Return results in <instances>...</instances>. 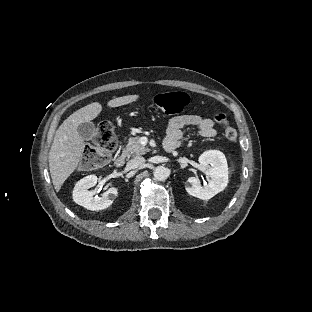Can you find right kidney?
Here are the masks:
<instances>
[{
  "mask_svg": "<svg viewBox=\"0 0 312 312\" xmlns=\"http://www.w3.org/2000/svg\"><path fill=\"white\" fill-rule=\"evenodd\" d=\"M97 183L95 175H89L77 182L73 190V200L78 205L92 211H100L110 207L115 198L118 196V188L110 186L101 194V197L95 196L94 188Z\"/></svg>",
  "mask_w": 312,
  "mask_h": 312,
  "instance_id": "obj_1",
  "label": "right kidney"
}]
</instances>
